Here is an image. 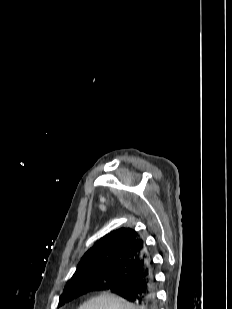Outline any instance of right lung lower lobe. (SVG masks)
<instances>
[{"label":"right lung lower lobe","mask_w":232,"mask_h":309,"mask_svg":"<svg viewBox=\"0 0 232 309\" xmlns=\"http://www.w3.org/2000/svg\"><path fill=\"white\" fill-rule=\"evenodd\" d=\"M122 273L128 276L124 283L105 280L102 286L89 287L87 292L111 290V292L136 304L138 309H156V285L153 262L150 257L140 264L132 262L127 264Z\"/></svg>","instance_id":"right-lung-lower-lobe-1"}]
</instances>
